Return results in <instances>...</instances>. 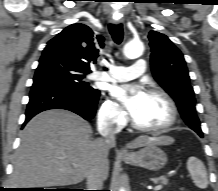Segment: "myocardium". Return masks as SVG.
Here are the masks:
<instances>
[{"label":"myocardium","instance_id":"1","mask_svg":"<svg viewBox=\"0 0 218 191\" xmlns=\"http://www.w3.org/2000/svg\"><path fill=\"white\" fill-rule=\"evenodd\" d=\"M148 94L159 96L166 101L170 109V114H171L170 119L165 125L160 126V127H144V126L139 125L134 120V118H132L131 123H132L133 128H135L138 131L146 132V133H162V132L168 131L177 123L178 117H179V111H178V107L175 101L166 91L159 89V88L149 89Z\"/></svg>","mask_w":218,"mask_h":191}]
</instances>
